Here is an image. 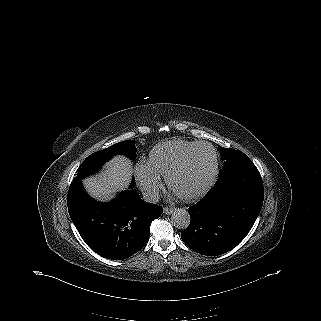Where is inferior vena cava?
<instances>
[{
    "mask_svg": "<svg viewBox=\"0 0 321 321\" xmlns=\"http://www.w3.org/2000/svg\"><path fill=\"white\" fill-rule=\"evenodd\" d=\"M143 200L148 203H157L160 199L159 191L155 188H146L142 191Z\"/></svg>",
    "mask_w": 321,
    "mask_h": 321,
    "instance_id": "obj_1",
    "label": "inferior vena cava"
}]
</instances>
